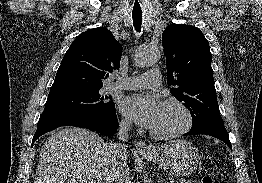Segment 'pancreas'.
Here are the masks:
<instances>
[{"label":"pancreas","mask_w":262,"mask_h":183,"mask_svg":"<svg viewBox=\"0 0 262 183\" xmlns=\"http://www.w3.org/2000/svg\"><path fill=\"white\" fill-rule=\"evenodd\" d=\"M177 183H190V182H188V181H185V180H180L179 182H177Z\"/></svg>","instance_id":"cf45deb5"}]
</instances>
